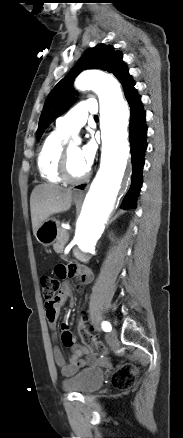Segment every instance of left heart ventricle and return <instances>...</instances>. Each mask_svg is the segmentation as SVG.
<instances>
[{
    "label": "left heart ventricle",
    "mask_w": 183,
    "mask_h": 438,
    "mask_svg": "<svg viewBox=\"0 0 183 438\" xmlns=\"http://www.w3.org/2000/svg\"><path fill=\"white\" fill-rule=\"evenodd\" d=\"M88 168L85 166L78 146H70L68 148V171L71 177H82Z\"/></svg>",
    "instance_id": "obj_1"
}]
</instances>
